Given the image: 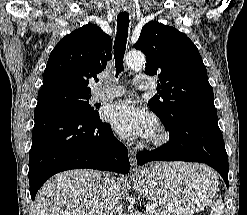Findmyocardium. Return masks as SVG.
Instances as JSON below:
<instances>
[{
    "label": "myocardium",
    "instance_id": "1",
    "mask_svg": "<svg viewBox=\"0 0 247 215\" xmlns=\"http://www.w3.org/2000/svg\"><path fill=\"white\" fill-rule=\"evenodd\" d=\"M169 134L163 127H159L151 138V143L155 146H161L168 141Z\"/></svg>",
    "mask_w": 247,
    "mask_h": 215
}]
</instances>
